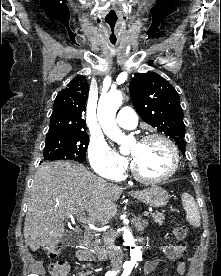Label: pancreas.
<instances>
[{
    "instance_id": "cf45deb5",
    "label": "pancreas",
    "mask_w": 221,
    "mask_h": 276,
    "mask_svg": "<svg viewBox=\"0 0 221 276\" xmlns=\"http://www.w3.org/2000/svg\"><path fill=\"white\" fill-rule=\"evenodd\" d=\"M151 218H152L156 223H158L159 225H162V224L164 223V219H165L164 215L161 214V213H157V214L153 213V214L151 215ZM99 244H100V239H99V237L96 236V237H95V241H94V243L92 244V246H93V248L95 249V248L98 247Z\"/></svg>"
}]
</instances>
